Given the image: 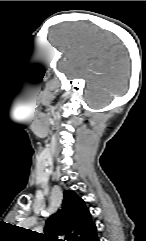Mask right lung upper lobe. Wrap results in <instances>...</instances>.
<instances>
[{"label":"right lung upper lobe","mask_w":146,"mask_h":241,"mask_svg":"<svg viewBox=\"0 0 146 241\" xmlns=\"http://www.w3.org/2000/svg\"><path fill=\"white\" fill-rule=\"evenodd\" d=\"M45 241H97V228L84 201L72 190L64 191L61 208L46 221Z\"/></svg>","instance_id":"cb5924a9"}]
</instances>
